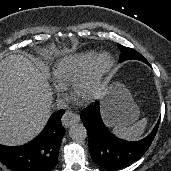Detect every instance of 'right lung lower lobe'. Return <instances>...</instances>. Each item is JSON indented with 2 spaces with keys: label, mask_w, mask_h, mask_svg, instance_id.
Here are the masks:
<instances>
[{
  "label": "right lung lower lobe",
  "mask_w": 171,
  "mask_h": 171,
  "mask_svg": "<svg viewBox=\"0 0 171 171\" xmlns=\"http://www.w3.org/2000/svg\"><path fill=\"white\" fill-rule=\"evenodd\" d=\"M64 110L51 115L43 131L22 146L0 145V161L13 171H52L58 161L65 129L61 125Z\"/></svg>",
  "instance_id": "right-lung-lower-lobe-1"
}]
</instances>
